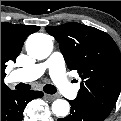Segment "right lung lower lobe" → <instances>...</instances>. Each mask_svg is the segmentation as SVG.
I'll return each mask as SVG.
<instances>
[{
	"label": "right lung lower lobe",
	"instance_id": "1",
	"mask_svg": "<svg viewBox=\"0 0 121 121\" xmlns=\"http://www.w3.org/2000/svg\"><path fill=\"white\" fill-rule=\"evenodd\" d=\"M41 91L6 90L1 92V121H22L26 105L35 98H41Z\"/></svg>",
	"mask_w": 121,
	"mask_h": 121
}]
</instances>
